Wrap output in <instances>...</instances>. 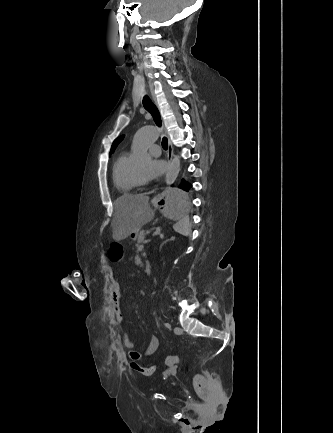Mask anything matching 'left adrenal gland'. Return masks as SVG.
Masks as SVG:
<instances>
[{
    "instance_id": "a2214340",
    "label": "left adrenal gland",
    "mask_w": 333,
    "mask_h": 433,
    "mask_svg": "<svg viewBox=\"0 0 333 433\" xmlns=\"http://www.w3.org/2000/svg\"><path fill=\"white\" fill-rule=\"evenodd\" d=\"M174 238H171L170 240H173ZM169 240H166V241H164L162 244H161V246L160 247H162L163 246V244H165L166 242H168Z\"/></svg>"
}]
</instances>
